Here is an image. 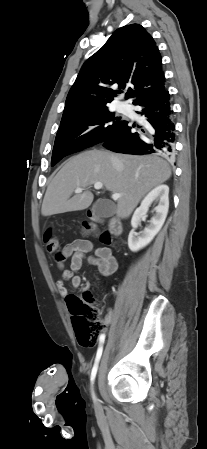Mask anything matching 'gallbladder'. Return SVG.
Wrapping results in <instances>:
<instances>
[{
  "mask_svg": "<svg viewBox=\"0 0 207 449\" xmlns=\"http://www.w3.org/2000/svg\"><path fill=\"white\" fill-rule=\"evenodd\" d=\"M92 210L98 216L111 217L115 213L116 208L110 201L100 199L94 203Z\"/></svg>",
  "mask_w": 207,
  "mask_h": 449,
  "instance_id": "gallbladder-1",
  "label": "gallbladder"
}]
</instances>
